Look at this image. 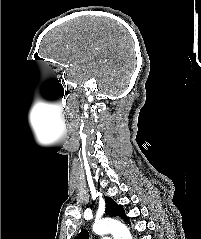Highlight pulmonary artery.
I'll return each mask as SVG.
<instances>
[{"label":"pulmonary artery","instance_id":"obj_1","mask_svg":"<svg viewBox=\"0 0 201 239\" xmlns=\"http://www.w3.org/2000/svg\"><path fill=\"white\" fill-rule=\"evenodd\" d=\"M99 239H111V237L110 236H102Z\"/></svg>","mask_w":201,"mask_h":239}]
</instances>
